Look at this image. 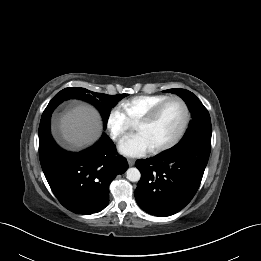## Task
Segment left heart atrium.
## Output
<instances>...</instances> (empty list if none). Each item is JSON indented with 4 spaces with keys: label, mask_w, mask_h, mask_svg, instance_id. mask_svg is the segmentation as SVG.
Returning <instances> with one entry per match:
<instances>
[{
    "label": "left heart atrium",
    "mask_w": 261,
    "mask_h": 261,
    "mask_svg": "<svg viewBox=\"0 0 261 261\" xmlns=\"http://www.w3.org/2000/svg\"><path fill=\"white\" fill-rule=\"evenodd\" d=\"M119 151L126 156L138 157L151 150L150 145L141 133H135L124 137L118 145Z\"/></svg>",
    "instance_id": "left-heart-atrium-1"
}]
</instances>
